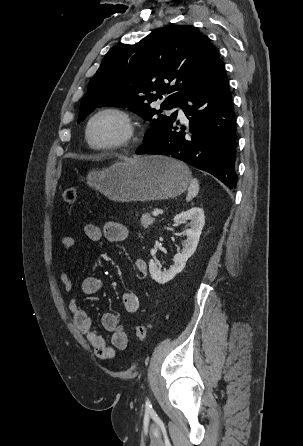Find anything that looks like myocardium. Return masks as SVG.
Here are the masks:
<instances>
[{"instance_id":"obj_1","label":"myocardium","mask_w":303,"mask_h":446,"mask_svg":"<svg viewBox=\"0 0 303 446\" xmlns=\"http://www.w3.org/2000/svg\"><path fill=\"white\" fill-rule=\"evenodd\" d=\"M103 115L116 117L123 127L122 135L114 142L106 145H95L90 138V129L93 122ZM138 124L133 114L127 109L117 106H107L95 111L88 119L85 126V140L88 146L97 151H112L129 145L137 136Z\"/></svg>"}]
</instances>
